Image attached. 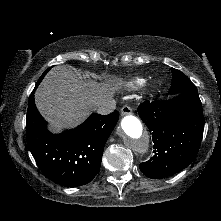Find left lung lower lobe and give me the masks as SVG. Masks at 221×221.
<instances>
[{"mask_svg":"<svg viewBox=\"0 0 221 221\" xmlns=\"http://www.w3.org/2000/svg\"><path fill=\"white\" fill-rule=\"evenodd\" d=\"M138 113L150 130L154 156L140 164L149 178L159 179L186 168L198 153L204 129L198 93H180L167 101H145Z\"/></svg>","mask_w":221,"mask_h":221,"instance_id":"obj_1","label":"left lung lower lobe"}]
</instances>
